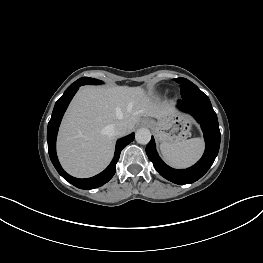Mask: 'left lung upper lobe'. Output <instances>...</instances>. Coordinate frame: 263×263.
I'll use <instances>...</instances> for the list:
<instances>
[{"label":"left lung upper lobe","mask_w":263,"mask_h":263,"mask_svg":"<svg viewBox=\"0 0 263 263\" xmlns=\"http://www.w3.org/2000/svg\"><path fill=\"white\" fill-rule=\"evenodd\" d=\"M175 81L180 83L182 97L202 93L195 84L185 78H177Z\"/></svg>","instance_id":"5c2ea615"}]
</instances>
